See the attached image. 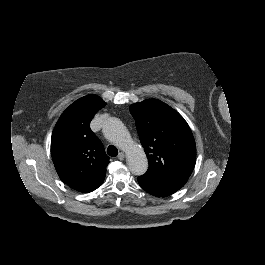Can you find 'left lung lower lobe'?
I'll use <instances>...</instances> for the list:
<instances>
[{
    "mask_svg": "<svg viewBox=\"0 0 265 265\" xmlns=\"http://www.w3.org/2000/svg\"><path fill=\"white\" fill-rule=\"evenodd\" d=\"M138 182L146 192L157 197L169 196L180 189L179 187L160 185L141 176L138 177Z\"/></svg>",
    "mask_w": 265,
    "mask_h": 265,
    "instance_id": "left-lung-lower-lobe-1",
    "label": "left lung lower lobe"
}]
</instances>
